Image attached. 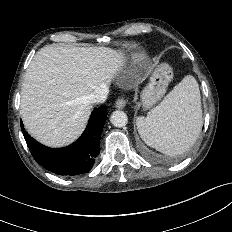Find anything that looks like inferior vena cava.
Returning a JSON list of instances; mask_svg holds the SVG:
<instances>
[{
	"instance_id": "602c4592",
	"label": "inferior vena cava",
	"mask_w": 232,
	"mask_h": 232,
	"mask_svg": "<svg viewBox=\"0 0 232 232\" xmlns=\"http://www.w3.org/2000/svg\"><path fill=\"white\" fill-rule=\"evenodd\" d=\"M108 93V87L99 88L87 97V101L90 104L104 103L107 99Z\"/></svg>"
}]
</instances>
